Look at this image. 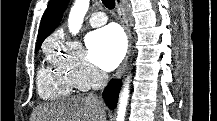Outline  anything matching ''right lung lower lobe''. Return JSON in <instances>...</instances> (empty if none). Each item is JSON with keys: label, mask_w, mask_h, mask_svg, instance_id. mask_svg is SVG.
Returning a JSON list of instances; mask_svg holds the SVG:
<instances>
[{"label": "right lung lower lobe", "mask_w": 217, "mask_h": 121, "mask_svg": "<svg viewBox=\"0 0 217 121\" xmlns=\"http://www.w3.org/2000/svg\"><path fill=\"white\" fill-rule=\"evenodd\" d=\"M120 87L121 81L113 79L103 91L104 101L110 109H114L116 107Z\"/></svg>", "instance_id": "98d812e1"}]
</instances>
